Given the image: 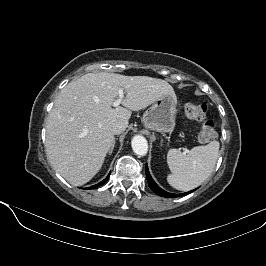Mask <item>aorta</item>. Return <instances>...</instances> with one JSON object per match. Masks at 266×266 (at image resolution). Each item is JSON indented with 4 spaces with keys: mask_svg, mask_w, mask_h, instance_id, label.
I'll return each mask as SVG.
<instances>
[{
    "mask_svg": "<svg viewBox=\"0 0 266 266\" xmlns=\"http://www.w3.org/2000/svg\"><path fill=\"white\" fill-rule=\"evenodd\" d=\"M131 146L134 153L138 156H144L148 151L147 140L141 135H136L133 137L131 141Z\"/></svg>",
    "mask_w": 266,
    "mask_h": 266,
    "instance_id": "aorta-1",
    "label": "aorta"
}]
</instances>
